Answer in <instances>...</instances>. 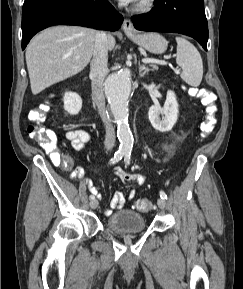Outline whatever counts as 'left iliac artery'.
<instances>
[{"mask_svg":"<svg viewBox=\"0 0 243 289\" xmlns=\"http://www.w3.org/2000/svg\"><path fill=\"white\" fill-rule=\"evenodd\" d=\"M124 156H125L124 160H125L126 164L129 165L130 164L131 151H126ZM160 197L164 200L167 199V195L164 191H160Z\"/></svg>","mask_w":243,"mask_h":289,"instance_id":"44dca946","label":"left iliac artery"}]
</instances>
